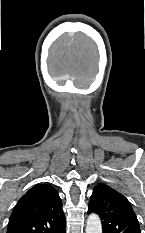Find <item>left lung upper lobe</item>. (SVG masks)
Here are the masks:
<instances>
[{"mask_svg": "<svg viewBox=\"0 0 145 233\" xmlns=\"http://www.w3.org/2000/svg\"><path fill=\"white\" fill-rule=\"evenodd\" d=\"M101 218L103 233H141L129 201L106 184H98L91 195L88 213Z\"/></svg>", "mask_w": 145, "mask_h": 233, "instance_id": "5c2ea615", "label": "left lung upper lobe"}]
</instances>
